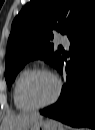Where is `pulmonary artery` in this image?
I'll list each match as a JSON object with an SVG mask.
<instances>
[{"mask_svg":"<svg viewBox=\"0 0 95 130\" xmlns=\"http://www.w3.org/2000/svg\"><path fill=\"white\" fill-rule=\"evenodd\" d=\"M58 41L65 46L69 45V40L66 36L63 35L59 36Z\"/></svg>","mask_w":95,"mask_h":130,"instance_id":"obj_1","label":"pulmonary artery"}]
</instances>
